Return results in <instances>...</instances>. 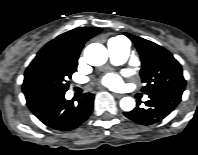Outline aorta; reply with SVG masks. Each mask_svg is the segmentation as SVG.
I'll return each instance as SVG.
<instances>
[{
	"instance_id": "762f6f07",
	"label": "aorta",
	"mask_w": 198,
	"mask_h": 155,
	"mask_svg": "<svg viewBox=\"0 0 198 155\" xmlns=\"http://www.w3.org/2000/svg\"><path fill=\"white\" fill-rule=\"evenodd\" d=\"M84 57L88 64L101 66L108 59V51L104 45L92 43L85 48ZM120 107L123 111H132L135 107V100L132 97H124L120 100Z\"/></svg>"
}]
</instances>
